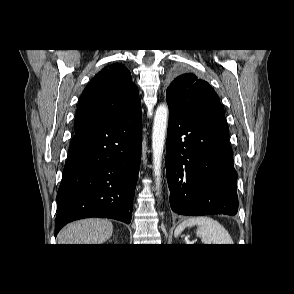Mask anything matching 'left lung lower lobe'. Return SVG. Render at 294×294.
Masks as SVG:
<instances>
[{"instance_id": "left-lung-lower-lobe-1", "label": "left lung lower lobe", "mask_w": 294, "mask_h": 294, "mask_svg": "<svg viewBox=\"0 0 294 294\" xmlns=\"http://www.w3.org/2000/svg\"><path fill=\"white\" fill-rule=\"evenodd\" d=\"M228 133L226 119L188 118L169 107L165 162L175 213H237V173Z\"/></svg>"}]
</instances>
